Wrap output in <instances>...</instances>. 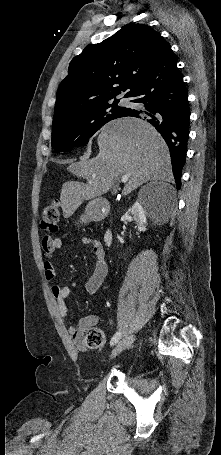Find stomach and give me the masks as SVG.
Segmentation results:
<instances>
[{
	"label": "stomach",
	"instance_id": "obj_1",
	"mask_svg": "<svg viewBox=\"0 0 221 455\" xmlns=\"http://www.w3.org/2000/svg\"><path fill=\"white\" fill-rule=\"evenodd\" d=\"M97 202L98 200H94L87 205L84 214L80 217L81 223H85L96 218L99 213Z\"/></svg>",
	"mask_w": 221,
	"mask_h": 455
}]
</instances>
